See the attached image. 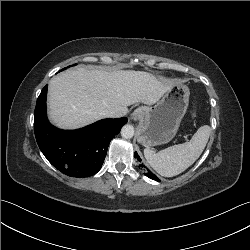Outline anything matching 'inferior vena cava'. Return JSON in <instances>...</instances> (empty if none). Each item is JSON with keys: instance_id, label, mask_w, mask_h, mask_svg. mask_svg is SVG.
Listing matches in <instances>:
<instances>
[{"instance_id": "inferior-vena-cava-1", "label": "inferior vena cava", "mask_w": 250, "mask_h": 250, "mask_svg": "<svg viewBox=\"0 0 250 250\" xmlns=\"http://www.w3.org/2000/svg\"><path fill=\"white\" fill-rule=\"evenodd\" d=\"M106 117H110V118H117V117H121V114L115 110L112 111H107L105 113Z\"/></svg>"}]
</instances>
